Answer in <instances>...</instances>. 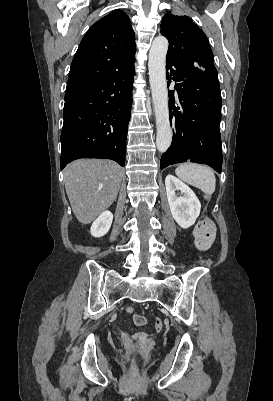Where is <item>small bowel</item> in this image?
Here are the masks:
<instances>
[{
  "instance_id": "obj_1",
  "label": "small bowel",
  "mask_w": 273,
  "mask_h": 401,
  "mask_svg": "<svg viewBox=\"0 0 273 401\" xmlns=\"http://www.w3.org/2000/svg\"><path fill=\"white\" fill-rule=\"evenodd\" d=\"M210 243H211V241H198V239H197V246L202 251L207 250L209 248V246H210ZM126 312H127V316H130V313L133 312V307L132 306H127L126 307ZM134 321H146V319H139L138 320L137 318L134 317ZM162 323H163V320L161 318L158 317V318L154 319V328H155L154 331L158 335L161 334L162 331H163L162 330ZM122 336L124 338H127L129 336V333L127 331H124L122 333ZM140 337L141 338H146L147 337V332L146 331H141L140 332Z\"/></svg>"
}]
</instances>
